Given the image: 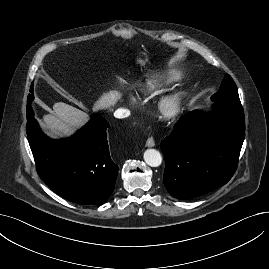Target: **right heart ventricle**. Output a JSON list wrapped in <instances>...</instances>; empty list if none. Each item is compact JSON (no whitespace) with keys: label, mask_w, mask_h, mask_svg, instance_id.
Returning <instances> with one entry per match:
<instances>
[{"label":"right heart ventricle","mask_w":269,"mask_h":269,"mask_svg":"<svg viewBox=\"0 0 269 269\" xmlns=\"http://www.w3.org/2000/svg\"><path fill=\"white\" fill-rule=\"evenodd\" d=\"M163 84V81L159 78H150L145 84L146 91H153Z\"/></svg>","instance_id":"e07e8e85"}]
</instances>
